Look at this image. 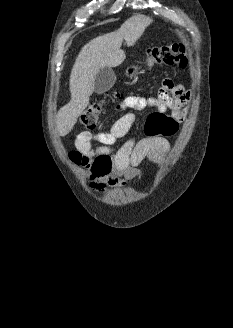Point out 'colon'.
Instances as JSON below:
<instances>
[{"label": "colon", "mask_w": 233, "mask_h": 328, "mask_svg": "<svg viewBox=\"0 0 233 328\" xmlns=\"http://www.w3.org/2000/svg\"><path fill=\"white\" fill-rule=\"evenodd\" d=\"M150 63L167 67L184 68L188 64L186 49L180 44H165L152 49ZM103 112V101L91 103L81 114L80 122L86 129H93ZM178 121L172 115L155 111L145 122L147 138L168 137L176 133ZM71 159L77 165H82L92 172V178L103 177L111 170V157L105 154L87 153L82 150L72 151Z\"/></svg>", "instance_id": "obj_1"}]
</instances>
